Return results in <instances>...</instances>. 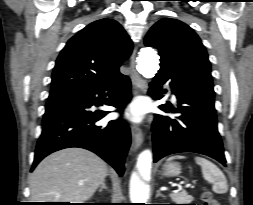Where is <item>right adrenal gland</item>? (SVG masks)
I'll return each mask as SVG.
<instances>
[{"label": "right adrenal gland", "instance_id": "right-adrenal-gland-1", "mask_svg": "<svg viewBox=\"0 0 253 205\" xmlns=\"http://www.w3.org/2000/svg\"><path fill=\"white\" fill-rule=\"evenodd\" d=\"M103 189H107V186L105 184V180L102 182L100 188H99V192H101Z\"/></svg>", "mask_w": 253, "mask_h": 205}]
</instances>
